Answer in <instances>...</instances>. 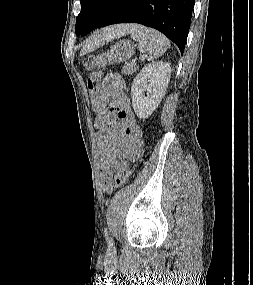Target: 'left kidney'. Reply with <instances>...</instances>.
Listing matches in <instances>:
<instances>
[{"mask_svg":"<svg viewBox=\"0 0 253 285\" xmlns=\"http://www.w3.org/2000/svg\"><path fill=\"white\" fill-rule=\"evenodd\" d=\"M170 75L171 64L158 61L143 67L135 77L131 86L132 106L140 119L148 118L156 110L165 95Z\"/></svg>","mask_w":253,"mask_h":285,"instance_id":"left-kidney-1","label":"left kidney"}]
</instances>
